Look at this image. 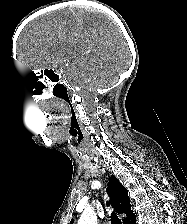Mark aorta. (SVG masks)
<instances>
[{
  "label": "aorta",
  "mask_w": 187,
  "mask_h": 224,
  "mask_svg": "<svg viewBox=\"0 0 187 224\" xmlns=\"http://www.w3.org/2000/svg\"><path fill=\"white\" fill-rule=\"evenodd\" d=\"M78 224H97V216L93 210H85L78 220Z\"/></svg>",
  "instance_id": "aorta-1"
}]
</instances>
